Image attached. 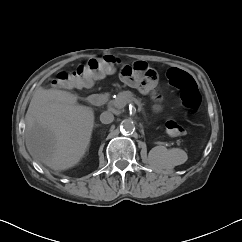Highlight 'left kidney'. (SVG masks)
Returning a JSON list of instances; mask_svg holds the SVG:
<instances>
[{
  "label": "left kidney",
  "instance_id": "5707ae66",
  "mask_svg": "<svg viewBox=\"0 0 242 242\" xmlns=\"http://www.w3.org/2000/svg\"><path fill=\"white\" fill-rule=\"evenodd\" d=\"M167 149L164 147V146H156L154 147L151 151H150V155L156 160L158 161V159L160 158L161 154L163 152H165ZM176 153H177V159L175 161V163L172 165V166H175V165H179V164H182L184 163L186 160H187V155L186 153L183 151V150H179V149H176L175 150Z\"/></svg>",
  "mask_w": 242,
  "mask_h": 242
}]
</instances>
